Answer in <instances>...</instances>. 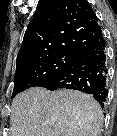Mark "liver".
I'll return each mask as SVG.
<instances>
[{
  "label": "liver",
  "mask_w": 117,
  "mask_h": 136,
  "mask_svg": "<svg viewBox=\"0 0 117 136\" xmlns=\"http://www.w3.org/2000/svg\"><path fill=\"white\" fill-rule=\"evenodd\" d=\"M10 122L12 136H97L103 112L85 93L33 87L14 98Z\"/></svg>",
  "instance_id": "obj_1"
}]
</instances>
